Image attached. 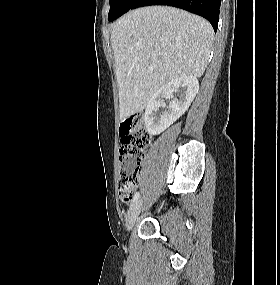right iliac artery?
Instances as JSON below:
<instances>
[{"label": "right iliac artery", "mask_w": 280, "mask_h": 285, "mask_svg": "<svg viewBox=\"0 0 280 285\" xmlns=\"http://www.w3.org/2000/svg\"><path fill=\"white\" fill-rule=\"evenodd\" d=\"M140 196V193L139 192H136L134 197H133V200H132V203L134 204L135 202H137L138 198Z\"/></svg>", "instance_id": "82829eb1"}]
</instances>
